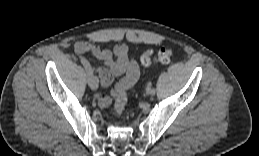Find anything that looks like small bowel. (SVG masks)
Here are the masks:
<instances>
[{"label": "small bowel", "mask_w": 259, "mask_h": 156, "mask_svg": "<svg viewBox=\"0 0 259 156\" xmlns=\"http://www.w3.org/2000/svg\"><path fill=\"white\" fill-rule=\"evenodd\" d=\"M74 52L78 56L88 54L104 64L103 67L97 69L100 84L103 87L109 86L114 77L125 73L124 78L115 86L111 96L97 95V101L101 107L109 106L119 89L127 90L136 83L139 77L138 64L133 58H129L128 47L125 44L116 45L111 50L102 49L95 43L79 41L74 45Z\"/></svg>", "instance_id": "1"}]
</instances>
